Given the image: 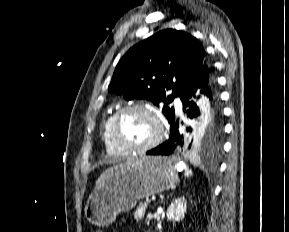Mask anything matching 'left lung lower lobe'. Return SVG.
Segmentation results:
<instances>
[{
    "mask_svg": "<svg viewBox=\"0 0 289 232\" xmlns=\"http://www.w3.org/2000/svg\"><path fill=\"white\" fill-rule=\"evenodd\" d=\"M207 97L208 104L198 120L199 124L195 123L192 127L186 128L187 132H191L195 127L203 125L211 119L221 120V109L218 102V94L216 89V79L212 65L205 59L203 65L197 71L190 83L179 96L183 103V111L189 118L200 116L199 109L194 101L196 92ZM222 121V120H221ZM185 135L179 129V122L175 118L170 122V137L160 146L147 152V155H170L175 152H187Z\"/></svg>",
    "mask_w": 289,
    "mask_h": 232,
    "instance_id": "1",
    "label": "left lung lower lobe"
}]
</instances>
